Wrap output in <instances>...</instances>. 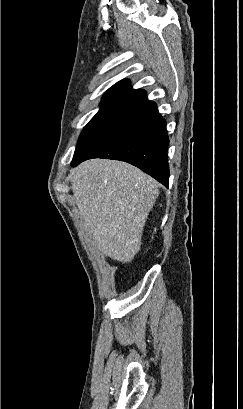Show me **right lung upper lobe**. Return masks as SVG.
<instances>
[{
    "label": "right lung upper lobe",
    "mask_w": 243,
    "mask_h": 409,
    "mask_svg": "<svg viewBox=\"0 0 243 409\" xmlns=\"http://www.w3.org/2000/svg\"><path fill=\"white\" fill-rule=\"evenodd\" d=\"M142 91L141 89H132L128 80H122L113 85L103 96L102 101H120L123 102Z\"/></svg>",
    "instance_id": "cb5924a9"
}]
</instances>
